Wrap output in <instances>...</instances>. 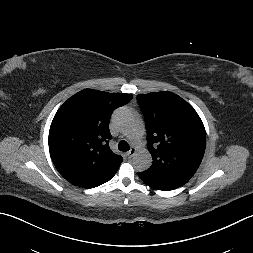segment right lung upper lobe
<instances>
[{
	"mask_svg": "<svg viewBox=\"0 0 253 253\" xmlns=\"http://www.w3.org/2000/svg\"><path fill=\"white\" fill-rule=\"evenodd\" d=\"M131 99L130 94L84 89L62 104L48 142L52 161L68 182L89 189L115 175L123 158L109 148L110 116Z\"/></svg>",
	"mask_w": 253,
	"mask_h": 253,
	"instance_id": "right-lung-upper-lobe-1",
	"label": "right lung upper lobe"
}]
</instances>
